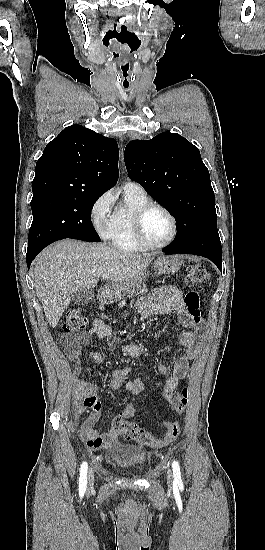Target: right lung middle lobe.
Here are the masks:
<instances>
[{
	"label": "right lung middle lobe",
	"instance_id": "dd1d6c3e",
	"mask_svg": "<svg viewBox=\"0 0 265 550\" xmlns=\"http://www.w3.org/2000/svg\"><path fill=\"white\" fill-rule=\"evenodd\" d=\"M100 196H69L50 192L34 194L27 253L65 238L100 242L91 222L92 207Z\"/></svg>",
	"mask_w": 265,
	"mask_h": 550
}]
</instances>
